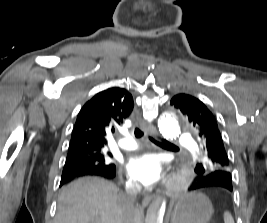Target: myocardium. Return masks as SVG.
I'll use <instances>...</instances> for the list:
<instances>
[{
  "label": "myocardium",
  "instance_id": "myocardium-1",
  "mask_svg": "<svg viewBox=\"0 0 267 223\" xmlns=\"http://www.w3.org/2000/svg\"><path fill=\"white\" fill-rule=\"evenodd\" d=\"M191 180V174L187 170L180 171L170 182L169 188L172 191L184 190L188 187Z\"/></svg>",
  "mask_w": 267,
  "mask_h": 223
}]
</instances>
